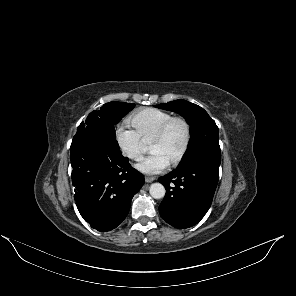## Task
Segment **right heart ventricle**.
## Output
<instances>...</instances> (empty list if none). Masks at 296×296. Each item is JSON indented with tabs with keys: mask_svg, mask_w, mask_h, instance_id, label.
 I'll use <instances>...</instances> for the list:
<instances>
[{
	"mask_svg": "<svg viewBox=\"0 0 296 296\" xmlns=\"http://www.w3.org/2000/svg\"><path fill=\"white\" fill-rule=\"evenodd\" d=\"M173 115L156 108H145L134 113L130 119L132 126L145 143H150L163 124Z\"/></svg>",
	"mask_w": 296,
	"mask_h": 296,
	"instance_id": "e07e8e85",
	"label": "right heart ventricle"
}]
</instances>
